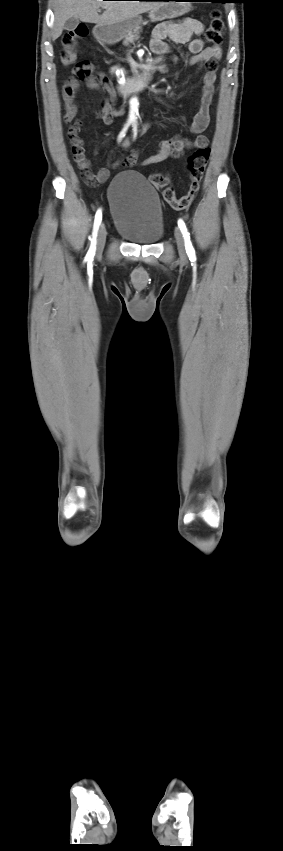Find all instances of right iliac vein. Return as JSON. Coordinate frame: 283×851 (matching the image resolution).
<instances>
[{
	"label": "right iliac vein",
	"mask_w": 283,
	"mask_h": 851,
	"mask_svg": "<svg viewBox=\"0 0 283 851\" xmlns=\"http://www.w3.org/2000/svg\"><path fill=\"white\" fill-rule=\"evenodd\" d=\"M106 236H107V230H106L105 225L102 223L99 227L98 238H97L96 248H97L98 253L102 252V250L104 248Z\"/></svg>",
	"instance_id": "1"
}]
</instances>
